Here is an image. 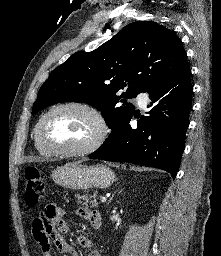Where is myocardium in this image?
Instances as JSON below:
<instances>
[{
	"mask_svg": "<svg viewBox=\"0 0 221 256\" xmlns=\"http://www.w3.org/2000/svg\"><path fill=\"white\" fill-rule=\"evenodd\" d=\"M64 108H78L89 113L96 121L98 131L96 136L88 144L78 147V148H60L49 145L43 138L42 127L46 119L53 114L55 111ZM109 134V126L106 118L102 112L91 104L80 102V101H69L64 103H59L52 108H50L46 113H44L39 119L35 127V138L37 143L41 148L48 151L51 154L62 155V156H80L90 154L100 148Z\"/></svg>",
	"mask_w": 221,
	"mask_h": 256,
	"instance_id": "myocardium-1",
	"label": "myocardium"
}]
</instances>
